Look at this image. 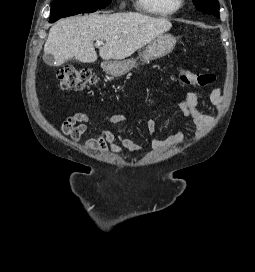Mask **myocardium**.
Masks as SVG:
<instances>
[{"mask_svg": "<svg viewBox=\"0 0 255 272\" xmlns=\"http://www.w3.org/2000/svg\"><path fill=\"white\" fill-rule=\"evenodd\" d=\"M172 2L180 9V7L185 3V0H172Z\"/></svg>", "mask_w": 255, "mask_h": 272, "instance_id": "f54148a6", "label": "myocardium"}]
</instances>
